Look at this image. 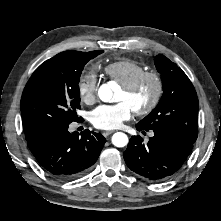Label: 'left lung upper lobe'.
<instances>
[{"label":"left lung upper lobe","mask_w":221,"mask_h":221,"mask_svg":"<svg viewBox=\"0 0 221 221\" xmlns=\"http://www.w3.org/2000/svg\"><path fill=\"white\" fill-rule=\"evenodd\" d=\"M162 75L163 95L159 104L137 125L145 130L173 133L193 143L198 136V98L187 75L162 54L155 57Z\"/></svg>","instance_id":"obj_1"}]
</instances>
